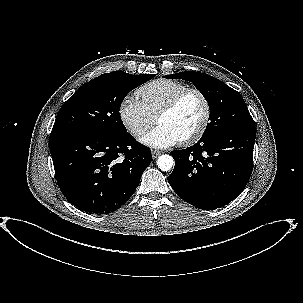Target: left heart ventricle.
<instances>
[{"instance_id": "b2bd125f", "label": "left heart ventricle", "mask_w": 303, "mask_h": 303, "mask_svg": "<svg viewBox=\"0 0 303 303\" xmlns=\"http://www.w3.org/2000/svg\"><path fill=\"white\" fill-rule=\"evenodd\" d=\"M202 116L201 99L196 94H189L173 112L160 118L158 123L167 126L181 140L198 128Z\"/></svg>"}]
</instances>
